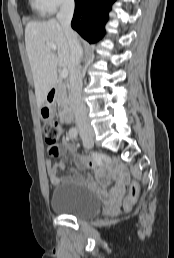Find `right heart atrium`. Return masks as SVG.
Masks as SVG:
<instances>
[{
    "label": "right heart atrium",
    "instance_id": "1",
    "mask_svg": "<svg viewBox=\"0 0 174 258\" xmlns=\"http://www.w3.org/2000/svg\"><path fill=\"white\" fill-rule=\"evenodd\" d=\"M45 12L55 13L59 8L69 5L73 0H40Z\"/></svg>",
    "mask_w": 174,
    "mask_h": 258
}]
</instances>
